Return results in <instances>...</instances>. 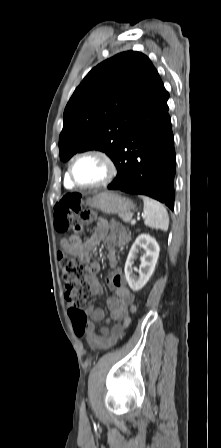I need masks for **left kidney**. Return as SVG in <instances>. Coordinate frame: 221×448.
I'll return each instance as SVG.
<instances>
[{
    "label": "left kidney",
    "mask_w": 221,
    "mask_h": 448,
    "mask_svg": "<svg viewBox=\"0 0 221 448\" xmlns=\"http://www.w3.org/2000/svg\"><path fill=\"white\" fill-rule=\"evenodd\" d=\"M139 249L144 250L141 256V269L139 270V277L133 274L134 260L137 258ZM160 247L157 241L148 234L139 235L133 243L126 263H125V277L128 285L133 291H138L144 287L155 270V266L159 257Z\"/></svg>",
    "instance_id": "obj_1"
}]
</instances>
